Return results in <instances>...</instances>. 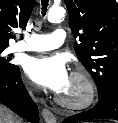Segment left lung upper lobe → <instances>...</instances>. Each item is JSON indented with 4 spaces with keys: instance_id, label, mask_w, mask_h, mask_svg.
I'll use <instances>...</instances> for the list:
<instances>
[{
    "instance_id": "obj_1",
    "label": "left lung upper lobe",
    "mask_w": 118,
    "mask_h": 123,
    "mask_svg": "<svg viewBox=\"0 0 118 123\" xmlns=\"http://www.w3.org/2000/svg\"><path fill=\"white\" fill-rule=\"evenodd\" d=\"M69 26L79 44L75 52L91 73L99 97L118 84V3L115 0H65Z\"/></svg>"
}]
</instances>
